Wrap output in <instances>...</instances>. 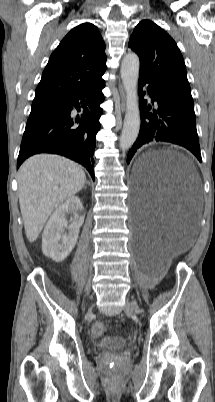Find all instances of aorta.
<instances>
[{"instance_id":"762f6f07","label":"aorta","mask_w":215,"mask_h":402,"mask_svg":"<svg viewBox=\"0 0 215 402\" xmlns=\"http://www.w3.org/2000/svg\"><path fill=\"white\" fill-rule=\"evenodd\" d=\"M139 57L135 53L124 56L121 64V78L126 93V114L120 136V149H129L136 141L140 129L138 102Z\"/></svg>"}]
</instances>
